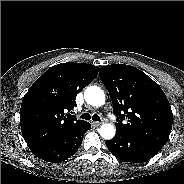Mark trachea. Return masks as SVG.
<instances>
[{
	"mask_svg": "<svg viewBox=\"0 0 184 184\" xmlns=\"http://www.w3.org/2000/svg\"><path fill=\"white\" fill-rule=\"evenodd\" d=\"M81 118L85 119V120H91L92 119L93 121H101L100 117L98 115H96V114L91 116L88 113H84V114L81 115Z\"/></svg>",
	"mask_w": 184,
	"mask_h": 184,
	"instance_id": "1",
	"label": "trachea"
}]
</instances>
